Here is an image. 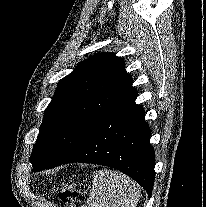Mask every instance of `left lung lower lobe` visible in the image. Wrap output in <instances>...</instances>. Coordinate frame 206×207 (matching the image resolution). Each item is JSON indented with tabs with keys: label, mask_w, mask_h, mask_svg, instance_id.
<instances>
[{
	"label": "left lung lower lobe",
	"mask_w": 206,
	"mask_h": 207,
	"mask_svg": "<svg viewBox=\"0 0 206 207\" xmlns=\"http://www.w3.org/2000/svg\"><path fill=\"white\" fill-rule=\"evenodd\" d=\"M130 87L95 123L81 146L67 159L48 165L81 162L118 169L139 183L150 197L154 184L155 153L142 106ZM35 171L40 169L34 167Z\"/></svg>",
	"instance_id": "1"
}]
</instances>
